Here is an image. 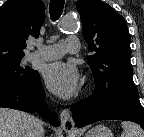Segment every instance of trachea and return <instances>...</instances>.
Instances as JSON below:
<instances>
[{
	"label": "trachea",
	"mask_w": 144,
	"mask_h": 137,
	"mask_svg": "<svg viewBox=\"0 0 144 137\" xmlns=\"http://www.w3.org/2000/svg\"><path fill=\"white\" fill-rule=\"evenodd\" d=\"M65 0H50L49 13L52 21H56L62 14Z\"/></svg>",
	"instance_id": "obj_1"
}]
</instances>
